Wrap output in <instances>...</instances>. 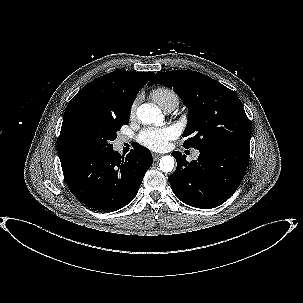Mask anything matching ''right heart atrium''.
I'll return each mask as SVG.
<instances>
[{
  "label": "right heart atrium",
  "instance_id": "obj_1",
  "mask_svg": "<svg viewBox=\"0 0 303 303\" xmlns=\"http://www.w3.org/2000/svg\"><path fill=\"white\" fill-rule=\"evenodd\" d=\"M136 108H137V100H135L130 106V116L131 117L135 116Z\"/></svg>",
  "mask_w": 303,
  "mask_h": 303
}]
</instances>
